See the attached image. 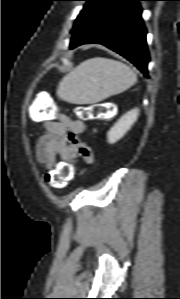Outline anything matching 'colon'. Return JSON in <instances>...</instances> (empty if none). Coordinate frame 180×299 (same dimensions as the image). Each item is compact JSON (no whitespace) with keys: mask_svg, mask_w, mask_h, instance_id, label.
Instances as JSON below:
<instances>
[{"mask_svg":"<svg viewBox=\"0 0 180 299\" xmlns=\"http://www.w3.org/2000/svg\"><path fill=\"white\" fill-rule=\"evenodd\" d=\"M78 113L83 119H94L106 114L104 105L97 104L92 106H82L78 108ZM56 115L55 108L49 107L43 115L44 117H52ZM74 168L68 164H61L45 176L46 182L57 189L64 188L74 178Z\"/></svg>","mask_w":180,"mask_h":299,"instance_id":"1","label":"colon"}]
</instances>
